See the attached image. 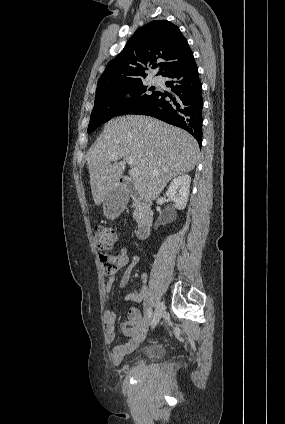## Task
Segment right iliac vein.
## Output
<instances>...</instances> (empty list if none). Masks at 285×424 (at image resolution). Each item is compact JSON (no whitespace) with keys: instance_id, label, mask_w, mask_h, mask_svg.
I'll return each mask as SVG.
<instances>
[{"instance_id":"1","label":"right iliac vein","mask_w":285,"mask_h":424,"mask_svg":"<svg viewBox=\"0 0 285 424\" xmlns=\"http://www.w3.org/2000/svg\"><path fill=\"white\" fill-rule=\"evenodd\" d=\"M163 310H164V303L159 302L156 306L155 313H154L153 319L151 321V327L152 328H154L158 324Z\"/></svg>"}]
</instances>
